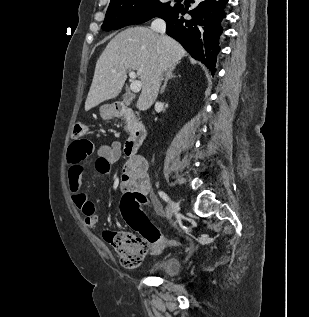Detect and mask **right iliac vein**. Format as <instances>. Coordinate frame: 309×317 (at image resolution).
Instances as JSON below:
<instances>
[{
  "label": "right iliac vein",
  "mask_w": 309,
  "mask_h": 317,
  "mask_svg": "<svg viewBox=\"0 0 309 317\" xmlns=\"http://www.w3.org/2000/svg\"><path fill=\"white\" fill-rule=\"evenodd\" d=\"M176 209H177V204L172 199H170L169 200L168 209H167L168 210V219L169 220L173 217V214L176 211Z\"/></svg>",
  "instance_id": "1"
}]
</instances>
